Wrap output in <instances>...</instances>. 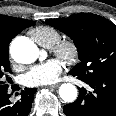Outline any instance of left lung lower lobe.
<instances>
[{"mask_svg":"<svg viewBox=\"0 0 116 116\" xmlns=\"http://www.w3.org/2000/svg\"><path fill=\"white\" fill-rule=\"evenodd\" d=\"M71 74L75 76L73 73ZM80 80L93 90L87 92L85 88H81L77 100L63 107L65 115L116 116V75L93 80Z\"/></svg>","mask_w":116,"mask_h":116,"instance_id":"0a47b994","label":"left lung lower lobe"}]
</instances>
